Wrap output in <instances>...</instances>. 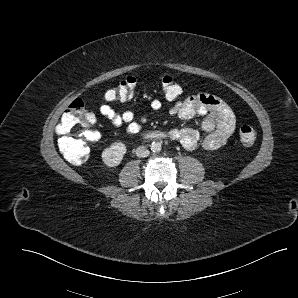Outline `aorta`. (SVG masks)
<instances>
[{"instance_id": "obj_1", "label": "aorta", "mask_w": 298, "mask_h": 298, "mask_svg": "<svg viewBox=\"0 0 298 298\" xmlns=\"http://www.w3.org/2000/svg\"><path fill=\"white\" fill-rule=\"evenodd\" d=\"M161 144L158 142V141H153L151 144H150V149L153 153H158L161 151Z\"/></svg>"}]
</instances>
